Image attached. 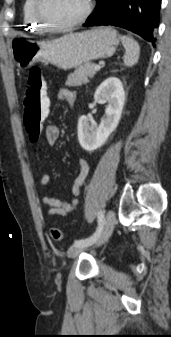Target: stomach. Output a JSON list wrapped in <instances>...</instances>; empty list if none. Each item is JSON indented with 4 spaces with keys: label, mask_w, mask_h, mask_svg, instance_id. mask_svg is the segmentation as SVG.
Masks as SVG:
<instances>
[{
    "label": "stomach",
    "mask_w": 171,
    "mask_h": 337,
    "mask_svg": "<svg viewBox=\"0 0 171 337\" xmlns=\"http://www.w3.org/2000/svg\"><path fill=\"white\" fill-rule=\"evenodd\" d=\"M119 45L111 27H99L82 33H71L51 41L15 38L11 42L12 57L20 69L45 60L62 69H70L95 59L110 57Z\"/></svg>",
    "instance_id": "obj_1"
}]
</instances>
